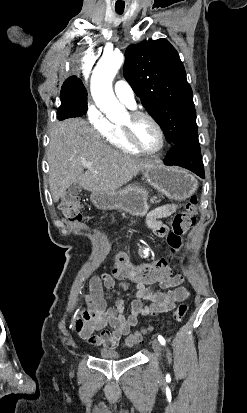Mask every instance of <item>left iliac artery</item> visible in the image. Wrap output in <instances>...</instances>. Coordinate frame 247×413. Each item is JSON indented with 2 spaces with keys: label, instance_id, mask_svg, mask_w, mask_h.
I'll use <instances>...</instances> for the list:
<instances>
[{
  "label": "left iliac artery",
  "instance_id": "44dca946",
  "mask_svg": "<svg viewBox=\"0 0 247 413\" xmlns=\"http://www.w3.org/2000/svg\"><path fill=\"white\" fill-rule=\"evenodd\" d=\"M158 340L162 345H165V339L163 338V336L158 335Z\"/></svg>",
  "mask_w": 247,
  "mask_h": 413
}]
</instances>
